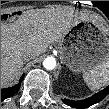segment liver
Returning a JSON list of instances; mask_svg holds the SVG:
<instances>
[{
	"label": "liver",
	"instance_id": "obj_1",
	"mask_svg": "<svg viewBox=\"0 0 109 109\" xmlns=\"http://www.w3.org/2000/svg\"><path fill=\"white\" fill-rule=\"evenodd\" d=\"M85 14L67 9H34L23 12L11 24L1 25V84L11 85L21 74L22 55L34 58L43 54L49 44L61 40Z\"/></svg>",
	"mask_w": 109,
	"mask_h": 109
}]
</instances>
